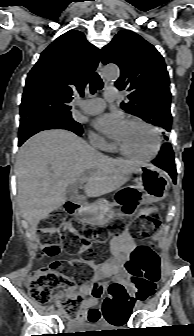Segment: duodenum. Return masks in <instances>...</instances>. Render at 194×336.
Masks as SVG:
<instances>
[{
	"mask_svg": "<svg viewBox=\"0 0 194 336\" xmlns=\"http://www.w3.org/2000/svg\"><path fill=\"white\" fill-rule=\"evenodd\" d=\"M79 207L80 206L78 204H75V203H67V206H66V208L69 212H75L79 209Z\"/></svg>",
	"mask_w": 194,
	"mask_h": 336,
	"instance_id": "duodenum-1",
	"label": "duodenum"
}]
</instances>
